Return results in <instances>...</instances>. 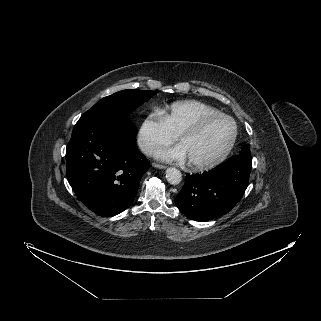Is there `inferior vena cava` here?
<instances>
[{"instance_id":"602c4592","label":"inferior vena cava","mask_w":321,"mask_h":321,"mask_svg":"<svg viewBox=\"0 0 321 321\" xmlns=\"http://www.w3.org/2000/svg\"><path fill=\"white\" fill-rule=\"evenodd\" d=\"M143 151H145L146 153H151L153 151V147L152 146H144Z\"/></svg>"}]
</instances>
